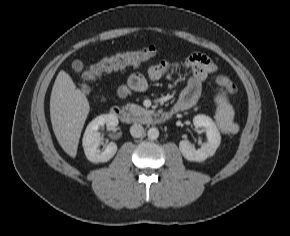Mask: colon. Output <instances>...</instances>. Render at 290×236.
<instances>
[{
  "instance_id": "1",
  "label": "colon",
  "mask_w": 290,
  "mask_h": 236,
  "mask_svg": "<svg viewBox=\"0 0 290 236\" xmlns=\"http://www.w3.org/2000/svg\"><path fill=\"white\" fill-rule=\"evenodd\" d=\"M158 52V48L149 46L139 50L126 51L104 57L83 73L81 88L85 93H88L90 92V83L102 73L150 60L156 57ZM217 83L230 98H236L237 88L228 77L223 75L218 76Z\"/></svg>"
}]
</instances>
